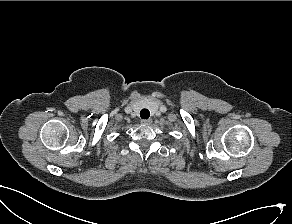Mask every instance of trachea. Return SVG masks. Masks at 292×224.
Returning <instances> with one entry per match:
<instances>
[{"mask_svg": "<svg viewBox=\"0 0 292 224\" xmlns=\"http://www.w3.org/2000/svg\"><path fill=\"white\" fill-rule=\"evenodd\" d=\"M149 116H150V112H149V110L148 109H142L141 111H140V117L142 118V119H148L149 118Z\"/></svg>", "mask_w": 292, "mask_h": 224, "instance_id": "3493384b", "label": "trachea"}]
</instances>
